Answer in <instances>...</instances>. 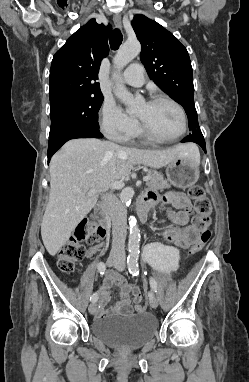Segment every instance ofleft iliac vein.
<instances>
[{"label": "left iliac vein", "mask_w": 249, "mask_h": 382, "mask_svg": "<svg viewBox=\"0 0 249 382\" xmlns=\"http://www.w3.org/2000/svg\"><path fill=\"white\" fill-rule=\"evenodd\" d=\"M115 268L119 271H123L125 268V258L121 257L120 260L115 264ZM149 303L152 308H157L158 307V299L155 296L154 293L149 294Z\"/></svg>", "instance_id": "left-iliac-vein-1"}]
</instances>
